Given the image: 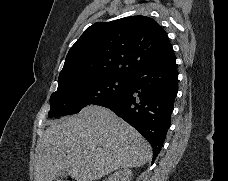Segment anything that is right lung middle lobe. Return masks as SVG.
I'll return each instance as SVG.
<instances>
[{
  "mask_svg": "<svg viewBox=\"0 0 228 181\" xmlns=\"http://www.w3.org/2000/svg\"><path fill=\"white\" fill-rule=\"evenodd\" d=\"M129 78L110 74L58 86L50 98L48 117L75 114L89 104L113 102L124 93Z\"/></svg>",
  "mask_w": 228,
  "mask_h": 181,
  "instance_id": "right-lung-middle-lobe-1",
  "label": "right lung middle lobe"
}]
</instances>
